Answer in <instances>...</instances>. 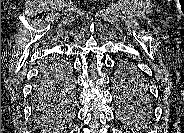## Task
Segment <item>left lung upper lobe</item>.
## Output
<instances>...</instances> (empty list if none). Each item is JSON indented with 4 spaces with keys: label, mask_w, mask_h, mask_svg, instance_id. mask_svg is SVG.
I'll return each mask as SVG.
<instances>
[{
    "label": "left lung upper lobe",
    "mask_w": 184,
    "mask_h": 133,
    "mask_svg": "<svg viewBox=\"0 0 184 133\" xmlns=\"http://www.w3.org/2000/svg\"><path fill=\"white\" fill-rule=\"evenodd\" d=\"M119 102L131 118H147L151 113L150 100L144 81L129 64H123L116 76Z\"/></svg>",
    "instance_id": "5c2ea615"
}]
</instances>
